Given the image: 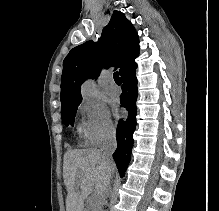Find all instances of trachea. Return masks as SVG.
<instances>
[{
  "label": "trachea",
  "instance_id": "obj_1",
  "mask_svg": "<svg viewBox=\"0 0 219 211\" xmlns=\"http://www.w3.org/2000/svg\"><path fill=\"white\" fill-rule=\"evenodd\" d=\"M113 78H114L115 83H116L117 85H121V79L119 78V72H118V71H115V72H114Z\"/></svg>",
  "mask_w": 219,
  "mask_h": 211
}]
</instances>
